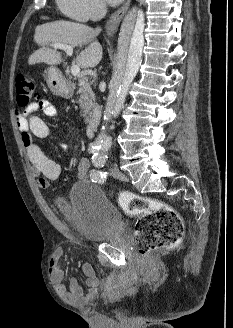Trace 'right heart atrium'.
Masks as SVG:
<instances>
[{
  "label": "right heart atrium",
  "mask_w": 233,
  "mask_h": 328,
  "mask_svg": "<svg viewBox=\"0 0 233 328\" xmlns=\"http://www.w3.org/2000/svg\"><path fill=\"white\" fill-rule=\"evenodd\" d=\"M57 3L66 16L79 22L95 19L105 10L103 0H57Z\"/></svg>",
  "instance_id": "obj_1"
}]
</instances>
